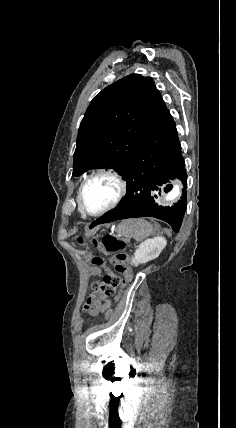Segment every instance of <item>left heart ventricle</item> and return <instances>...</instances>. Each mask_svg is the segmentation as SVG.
I'll return each mask as SVG.
<instances>
[{
	"mask_svg": "<svg viewBox=\"0 0 236 428\" xmlns=\"http://www.w3.org/2000/svg\"><path fill=\"white\" fill-rule=\"evenodd\" d=\"M118 191L117 183L109 177H98L90 181L84 189V200L87 207L99 210L112 202Z\"/></svg>",
	"mask_w": 236,
	"mask_h": 428,
	"instance_id": "b2bd125f",
	"label": "left heart ventricle"
}]
</instances>
